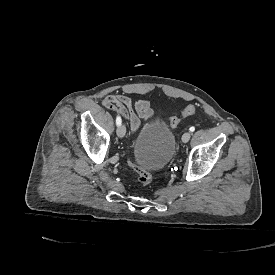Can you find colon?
Masks as SVG:
<instances>
[{"instance_id": "5ec220e1", "label": "colon", "mask_w": 275, "mask_h": 275, "mask_svg": "<svg viewBox=\"0 0 275 275\" xmlns=\"http://www.w3.org/2000/svg\"><path fill=\"white\" fill-rule=\"evenodd\" d=\"M154 101H156V109H159L160 98L150 99V102H154ZM194 113H196V108L191 106V107H188L187 110L183 112V116H188ZM180 120H181V117L172 116V117L164 118L163 122L169 127H174L180 122ZM135 169L137 171L138 183L143 187L148 186L152 181L151 172L145 166H142V165H135Z\"/></svg>"}]
</instances>
